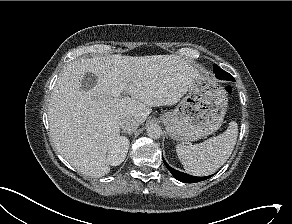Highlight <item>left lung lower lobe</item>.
<instances>
[{
  "instance_id": "obj_1",
  "label": "left lung lower lobe",
  "mask_w": 292,
  "mask_h": 224,
  "mask_svg": "<svg viewBox=\"0 0 292 224\" xmlns=\"http://www.w3.org/2000/svg\"><path fill=\"white\" fill-rule=\"evenodd\" d=\"M214 72H215V75H216L217 78L228 80V78L224 77V74H223V73H225V74H228V73L223 71L222 69H220V70L217 69ZM228 75H230V74H228ZM164 163H165L166 167L168 168V170L171 172V174L174 176V178L179 180V181H181V182H184V183L200 182V181L206 180V179L211 177V176H207V177L192 176V175H189V174H186V173H183V172H180L178 170L173 169L165 161H164Z\"/></svg>"
}]
</instances>
